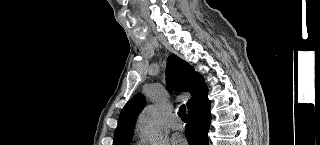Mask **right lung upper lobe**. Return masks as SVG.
<instances>
[{
  "label": "right lung upper lobe",
  "instance_id": "right-lung-upper-lobe-1",
  "mask_svg": "<svg viewBox=\"0 0 320 145\" xmlns=\"http://www.w3.org/2000/svg\"><path fill=\"white\" fill-rule=\"evenodd\" d=\"M167 83L178 91L190 92L192 98L187 102L190 109L207 91L203 77L194 68L175 54H171L166 68ZM142 94L135 95L122 109L115 132L113 145H127L133 137L134 123L145 105Z\"/></svg>",
  "mask_w": 320,
  "mask_h": 145
}]
</instances>
